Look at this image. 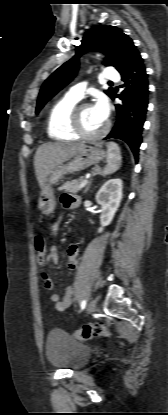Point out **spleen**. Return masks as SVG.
I'll return each mask as SVG.
<instances>
[{
	"label": "spleen",
	"instance_id": "3e777b00",
	"mask_svg": "<svg viewBox=\"0 0 168 415\" xmlns=\"http://www.w3.org/2000/svg\"><path fill=\"white\" fill-rule=\"evenodd\" d=\"M107 146V165L102 171V175H110L116 172L121 166V152L117 143L108 142Z\"/></svg>",
	"mask_w": 168,
	"mask_h": 415
}]
</instances>
